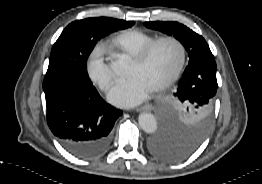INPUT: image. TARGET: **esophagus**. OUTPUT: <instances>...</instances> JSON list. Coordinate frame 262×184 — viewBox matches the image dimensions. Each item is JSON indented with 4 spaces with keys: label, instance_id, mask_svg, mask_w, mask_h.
<instances>
[{
    "label": "esophagus",
    "instance_id": "1",
    "mask_svg": "<svg viewBox=\"0 0 262 184\" xmlns=\"http://www.w3.org/2000/svg\"><path fill=\"white\" fill-rule=\"evenodd\" d=\"M154 109V106L152 104H145L139 108H137V111H151Z\"/></svg>",
    "mask_w": 262,
    "mask_h": 184
}]
</instances>
